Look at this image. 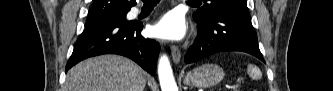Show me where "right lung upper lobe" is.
Instances as JSON below:
<instances>
[{"label":"right lung upper lobe","mask_w":333,"mask_h":91,"mask_svg":"<svg viewBox=\"0 0 333 91\" xmlns=\"http://www.w3.org/2000/svg\"><path fill=\"white\" fill-rule=\"evenodd\" d=\"M135 5V0H94L89 19L106 18L127 12Z\"/></svg>","instance_id":"cb5924a9"}]
</instances>
